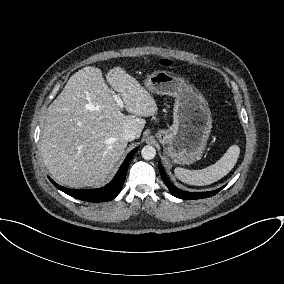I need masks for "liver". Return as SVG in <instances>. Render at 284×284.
Wrapping results in <instances>:
<instances>
[{
	"instance_id": "1",
	"label": "liver",
	"mask_w": 284,
	"mask_h": 284,
	"mask_svg": "<svg viewBox=\"0 0 284 284\" xmlns=\"http://www.w3.org/2000/svg\"><path fill=\"white\" fill-rule=\"evenodd\" d=\"M106 80L123 99L124 115L99 68L87 66L70 77L50 104L42 130L43 161L57 182L72 188L99 187L119 166L132 128L139 138L145 119L158 108L147 90L117 66Z\"/></svg>"
}]
</instances>
